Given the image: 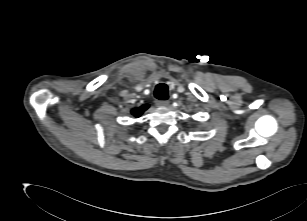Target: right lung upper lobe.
<instances>
[{"label": "right lung upper lobe", "instance_id": "1", "mask_svg": "<svg viewBox=\"0 0 307 221\" xmlns=\"http://www.w3.org/2000/svg\"><path fill=\"white\" fill-rule=\"evenodd\" d=\"M148 107H149L148 105H143L139 108H134L131 110V113L133 116L139 117Z\"/></svg>", "mask_w": 307, "mask_h": 221}]
</instances>
